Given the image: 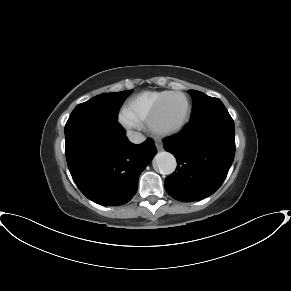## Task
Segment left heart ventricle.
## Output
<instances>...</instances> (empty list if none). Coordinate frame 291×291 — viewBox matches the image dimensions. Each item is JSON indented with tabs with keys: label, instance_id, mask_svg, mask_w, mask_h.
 I'll use <instances>...</instances> for the list:
<instances>
[{
	"label": "left heart ventricle",
	"instance_id": "left-heart-ventricle-1",
	"mask_svg": "<svg viewBox=\"0 0 291 291\" xmlns=\"http://www.w3.org/2000/svg\"><path fill=\"white\" fill-rule=\"evenodd\" d=\"M186 113V99L181 95H173L164 103L158 124L164 128L176 127L184 121Z\"/></svg>",
	"mask_w": 291,
	"mask_h": 291
}]
</instances>
